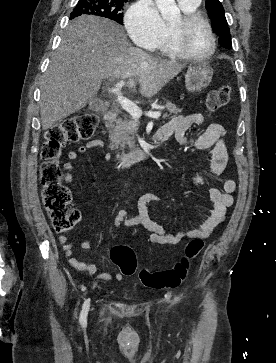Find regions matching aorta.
<instances>
[{
  "label": "aorta",
  "instance_id": "aorta-1",
  "mask_svg": "<svg viewBox=\"0 0 276 363\" xmlns=\"http://www.w3.org/2000/svg\"><path fill=\"white\" fill-rule=\"evenodd\" d=\"M155 3L164 21L174 22L180 20L181 13L175 0H155Z\"/></svg>",
  "mask_w": 276,
  "mask_h": 363
}]
</instances>
